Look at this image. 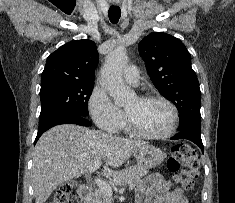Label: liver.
Listing matches in <instances>:
<instances>
[{
	"label": "liver",
	"instance_id": "6515ba94",
	"mask_svg": "<svg viewBox=\"0 0 235 203\" xmlns=\"http://www.w3.org/2000/svg\"><path fill=\"white\" fill-rule=\"evenodd\" d=\"M146 143L120 138L74 124L58 125L45 132L33 153L32 185L35 203H45L62 183L88 172L104 158L105 177L114 176L138 148Z\"/></svg>",
	"mask_w": 235,
	"mask_h": 203
}]
</instances>
